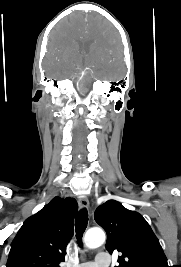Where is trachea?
I'll list each match as a JSON object with an SVG mask.
<instances>
[{"mask_svg": "<svg viewBox=\"0 0 181 267\" xmlns=\"http://www.w3.org/2000/svg\"><path fill=\"white\" fill-rule=\"evenodd\" d=\"M87 224H88V212L86 208H83L78 212L75 220L76 238L80 247H82V237L87 227Z\"/></svg>", "mask_w": 181, "mask_h": 267, "instance_id": "obj_1", "label": "trachea"}]
</instances>
